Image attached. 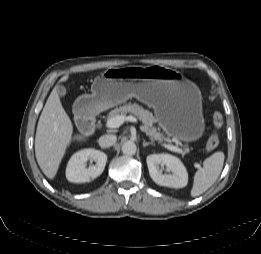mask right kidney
<instances>
[{"label":"right kidney","mask_w":261,"mask_h":254,"mask_svg":"<svg viewBox=\"0 0 261 254\" xmlns=\"http://www.w3.org/2000/svg\"><path fill=\"white\" fill-rule=\"evenodd\" d=\"M88 160L95 161V165L86 168ZM107 155L95 149H83L76 152L69 160L66 168V178L69 182L84 183L94 180L104 171Z\"/></svg>","instance_id":"right-kidney-1"}]
</instances>
